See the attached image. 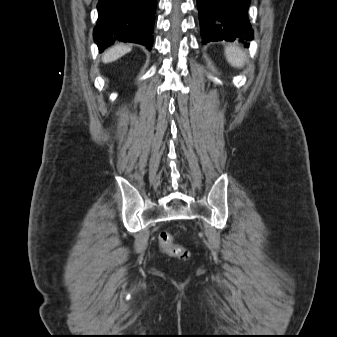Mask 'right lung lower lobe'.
I'll return each instance as SVG.
<instances>
[{
  "label": "right lung lower lobe",
  "instance_id": "right-lung-lower-lobe-1",
  "mask_svg": "<svg viewBox=\"0 0 337 337\" xmlns=\"http://www.w3.org/2000/svg\"><path fill=\"white\" fill-rule=\"evenodd\" d=\"M157 0H99L98 21L93 37L102 52L116 41L153 44Z\"/></svg>",
  "mask_w": 337,
  "mask_h": 337
}]
</instances>
